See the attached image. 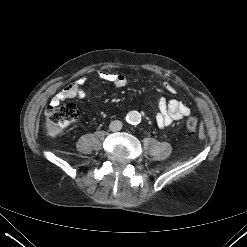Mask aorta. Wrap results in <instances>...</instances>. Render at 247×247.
Here are the masks:
<instances>
[{"label":"aorta","mask_w":247,"mask_h":247,"mask_svg":"<svg viewBox=\"0 0 247 247\" xmlns=\"http://www.w3.org/2000/svg\"><path fill=\"white\" fill-rule=\"evenodd\" d=\"M126 121L129 124L136 125L141 121V115L138 111H130L126 115Z\"/></svg>","instance_id":"1"}]
</instances>
